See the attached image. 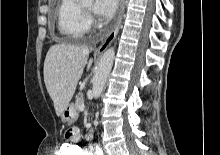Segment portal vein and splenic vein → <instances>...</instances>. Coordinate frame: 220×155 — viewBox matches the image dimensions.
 Masks as SVG:
<instances>
[{
  "instance_id": "portal-vein-and-splenic-vein-1",
  "label": "portal vein and splenic vein",
  "mask_w": 220,
  "mask_h": 155,
  "mask_svg": "<svg viewBox=\"0 0 220 155\" xmlns=\"http://www.w3.org/2000/svg\"><path fill=\"white\" fill-rule=\"evenodd\" d=\"M84 108H85L84 104L80 106V110H83Z\"/></svg>"
}]
</instances>
